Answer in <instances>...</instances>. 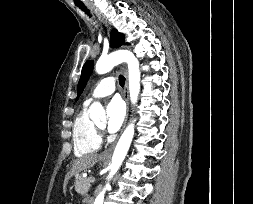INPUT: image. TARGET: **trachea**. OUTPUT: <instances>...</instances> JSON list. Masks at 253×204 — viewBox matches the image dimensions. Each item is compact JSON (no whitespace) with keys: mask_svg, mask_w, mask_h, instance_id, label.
<instances>
[{"mask_svg":"<svg viewBox=\"0 0 253 204\" xmlns=\"http://www.w3.org/2000/svg\"><path fill=\"white\" fill-rule=\"evenodd\" d=\"M85 14L90 15V11L87 9V7L83 4L77 5ZM125 83V78L124 76L120 75L119 76V84L123 87Z\"/></svg>","mask_w":253,"mask_h":204,"instance_id":"3493384b","label":"trachea"}]
</instances>
